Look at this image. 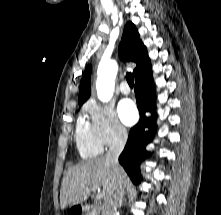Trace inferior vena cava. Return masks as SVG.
<instances>
[{"label": "inferior vena cava", "mask_w": 221, "mask_h": 215, "mask_svg": "<svg viewBox=\"0 0 221 215\" xmlns=\"http://www.w3.org/2000/svg\"><path fill=\"white\" fill-rule=\"evenodd\" d=\"M127 137V132L119 128L118 135L106 154V160L110 163L113 171L115 185L112 196L104 203L102 215H116L117 209L122 204L124 197V181L121 175V167L118 158L124 149Z\"/></svg>", "instance_id": "obj_1"}]
</instances>
